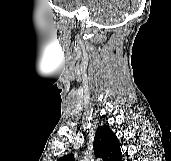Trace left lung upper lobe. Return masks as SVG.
Masks as SVG:
<instances>
[{
  "label": "left lung upper lobe",
  "instance_id": "1",
  "mask_svg": "<svg viewBox=\"0 0 171 161\" xmlns=\"http://www.w3.org/2000/svg\"><path fill=\"white\" fill-rule=\"evenodd\" d=\"M94 153L103 161H122L120 143L116 135L106 126L97 129L94 137ZM58 161H74L73 154L59 158Z\"/></svg>",
  "mask_w": 171,
  "mask_h": 161
}]
</instances>
